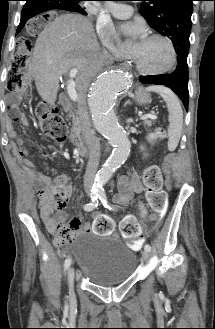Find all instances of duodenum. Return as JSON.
<instances>
[{
  "label": "duodenum",
  "instance_id": "obj_1",
  "mask_svg": "<svg viewBox=\"0 0 215 329\" xmlns=\"http://www.w3.org/2000/svg\"><path fill=\"white\" fill-rule=\"evenodd\" d=\"M59 104L64 109H70L71 100H70V98L68 97L67 94L62 93L60 95ZM76 150H77L78 155L81 156V157H85L88 154L87 148L85 147L84 144H82L80 142L76 143Z\"/></svg>",
  "mask_w": 215,
  "mask_h": 329
}]
</instances>
